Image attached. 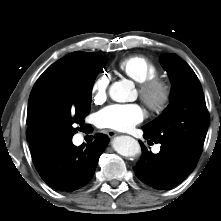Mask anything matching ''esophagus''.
Segmentation results:
<instances>
[{
	"mask_svg": "<svg viewBox=\"0 0 221 221\" xmlns=\"http://www.w3.org/2000/svg\"><path fill=\"white\" fill-rule=\"evenodd\" d=\"M106 134L109 136V137H114L117 135V133L113 130H106Z\"/></svg>",
	"mask_w": 221,
	"mask_h": 221,
	"instance_id": "34e87169",
	"label": "esophagus"
}]
</instances>
